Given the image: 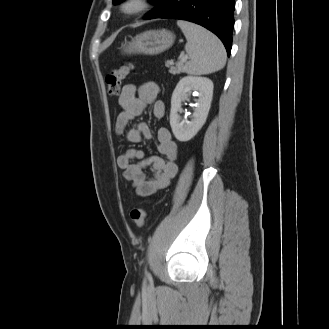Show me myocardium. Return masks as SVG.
I'll return each mask as SVG.
<instances>
[{"mask_svg": "<svg viewBox=\"0 0 329 329\" xmlns=\"http://www.w3.org/2000/svg\"><path fill=\"white\" fill-rule=\"evenodd\" d=\"M150 5V0H123L120 11L125 15L135 16L148 10Z\"/></svg>", "mask_w": 329, "mask_h": 329, "instance_id": "myocardium-1", "label": "myocardium"}]
</instances>
